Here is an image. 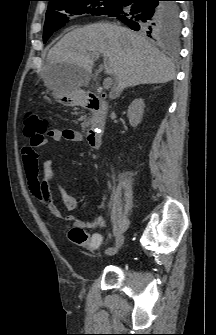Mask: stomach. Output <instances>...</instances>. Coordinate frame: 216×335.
I'll return each instance as SVG.
<instances>
[{
  "label": "stomach",
  "instance_id": "stomach-1",
  "mask_svg": "<svg viewBox=\"0 0 216 335\" xmlns=\"http://www.w3.org/2000/svg\"><path fill=\"white\" fill-rule=\"evenodd\" d=\"M47 83L53 89V99L64 106H76L82 101L83 94L79 89H75L68 83L65 77L57 72H52L45 77Z\"/></svg>",
  "mask_w": 216,
  "mask_h": 335
}]
</instances>
